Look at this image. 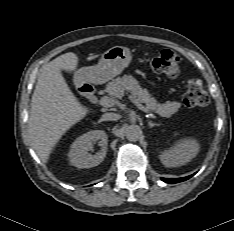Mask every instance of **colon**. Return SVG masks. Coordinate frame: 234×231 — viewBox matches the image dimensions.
<instances>
[{
	"label": "colon",
	"instance_id": "obj_1",
	"mask_svg": "<svg viewBox=\"0 0 234 231\" xmlns=\"http://www.w3.org/2000/svg\"><path fill=\"white\" fill-rule=\"evenodd\" d=\"M152 69L169 77H176L180 71V59L171 50H163L151 62ZM187 108L204 107L209 103V97L199 80H190L182 99Z\"/></svg>",
	"mask_w": 234,
	"mask_h": 231
}]
</instances>
